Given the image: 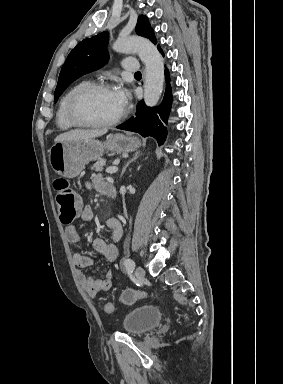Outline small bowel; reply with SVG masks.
Listing matches in <instances>:
<instances>
[{"label":"small bowel","mask_w":283,"mask_h":384,"mask_svg":"<svg viewBox=\"0 0 283 384\" xmlns=\"http://www.w3.org/2000/svg\"><path fill=\"white\" fill-rule=\"evenodd\" d=\"M108 183L101 175H96L87 184L90 189L100 193H105ZM80 218L83 222H89L93 218V210L90 205H84L80 209ZM106 227L111 231L112 242H108L102 238H96L92 242L93 253L103 257L108 262H114L118 256V248L116 243L123 235V226L119 219L109 218L106 221ZM65 235L69 243H79L81 236L77 228L69 225L65 228ZM95 257L92 255L81 254L75 252L73 254V263L79 269H85L93 265ZM78 278L87 294L91 297H96L104 291H108L113 284V276L111 271L107 272L103 279H95L87 276L82 270L78 271Z\"/></svg>","instance_id":"1"}]
</instances>
